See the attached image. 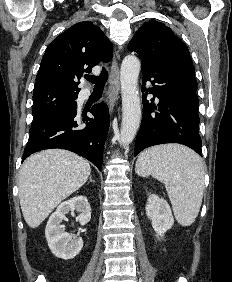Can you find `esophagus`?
Returning a JSON list of instances; mask_svg holds the SVG:
<instances>
[{"label":"esophagus","instance_id":"34e87169","mask_svg":"<svg viewBox=\"0 0 232 282\" xmlns=\"http://www.w3.org/2000/svg\"><path fill=\"white\" fill-rule=\"evenodd\" d=\"M120 92V75L119 66L116 57H113L111 73L109 79V96H110V112L113 113L114 106Z\"/></svg>","mask_w":232,"mask_h":282}]
</instances>
